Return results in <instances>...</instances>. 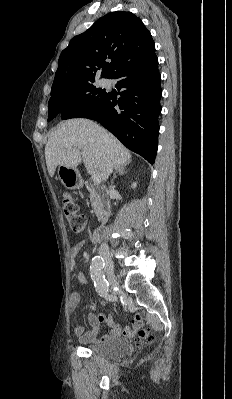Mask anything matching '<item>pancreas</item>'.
I'll list each match as a JSON object with an SVG mask.
<instances>
[{
	"label": "pancreas",
	"instance_id": "pancreas-1",
	"mask_svg": "<svg viewBox=\"0 0 232 399\" xmlns=\"http://www.w3.org/2000/svg\"><path fill=\"white\" fill-rule=\"evenodd\" d=\"M89 198L91 205L98 217V221H107L109 215H111L109 200L107 194H99L96 190H89Z\"/></svg>",
	"mask_w": 232,
	"mask_h": 399
}]
</instances>
